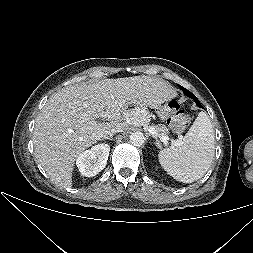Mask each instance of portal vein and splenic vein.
Segmentation results:
<instances>
[{"label":"portal vein and splenic vein","instance_id":"18ae733b","mask_svg":"<svg viewBox=\"0 0 253 253\" xmlns=\"http://www.w3.org/2000/svg\"><path fill=\"white\" fill-rule=\"evenodd\" d=\"M149 132L153 135V136H159L160 140L163 142V143H167L169 138L168 136L166 135H159L157 130L154 128V127H150L149 128Z\"/></svg>","mask_w":253,"mask_h":253}]
</instances>
